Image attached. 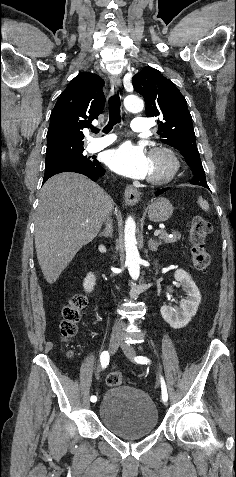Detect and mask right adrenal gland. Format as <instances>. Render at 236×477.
Here are the masks:
<instances>
[{
	"mask_svg": "<svg viewBox=\"0 0 236 477\" xmlns=\"http://www.w3.org/2000/svg\"><path fill=\"white\" fill-rule=\"evenodd\" d=\"M106 228L104 229L103 232L100 233V236L104 237H111L113 234V227H112V219L111 216H109L106 220Z\"/></svg>",
	"mask_w": 236,
	"mask_h": 477,
	"instance_id": "obj_1",
	"label": "right adrenal gland"
}]
</instances>
